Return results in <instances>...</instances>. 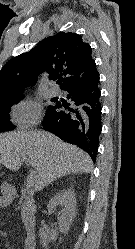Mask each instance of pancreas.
I'll list each match as a JSON object with an SVG mask.
<instances>
[{
  "instance_id": "cf45deb5",
  "label": "pancreas",
  "mask_w": 135,
  "mask_h": 249,
  "mask_svg": "<svg viewBox=\"0 0 135 249\" xmlns=\"http://www.w3.org/2000/svg\"><path fill=\"white\" fill-rule=\"evenodd\" d=\"M20 203H21L20 208H21L22 219L24 221L32 219L35 212V206L29 201H25L23 203L20 201Z\"/></svg>"
}]
</instances>
